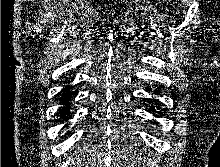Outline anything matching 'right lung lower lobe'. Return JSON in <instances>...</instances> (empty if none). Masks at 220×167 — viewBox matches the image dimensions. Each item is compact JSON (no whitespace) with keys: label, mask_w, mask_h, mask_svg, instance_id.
Returning <instances> with one entry per match:
<instances>
[{"label":"right lung lower lobe","mask_w":220,"mask_h":167,"mask_svg":"<svg viewBox=\"0 0 220 167\" xmlns=\"http://www.w3.org/2000/svg\"><path fill=\"white\" fill-rule=\"evenodd\" d=\"M72 93H70V88H66L65 93L63 94L62 97V102L64 106L60 109V115L63 117V120H67L69 116V100L71 99Z\"/></svg>","instance_id":"1"}]
</instances>
